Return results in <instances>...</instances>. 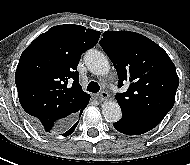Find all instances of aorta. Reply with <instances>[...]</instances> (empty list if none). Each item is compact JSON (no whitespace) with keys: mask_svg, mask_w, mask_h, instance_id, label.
I'll use <instances>...</instances> for the list:
<instances>
[{"mask_svg":"<svg viewBox=\"0 0 190 165\" xmlns=\"http://www.w3.org/2000/svg\"><path fill=\"white\" fill-rule=\"evenodd\" d=\"M85 63L88 70L95 75H107L110 70L108 58L97 50H90L85 55ZM102 114L108 122H117L122 116L121 108L116 101L104 102Z\"/></svg>","mask_w":190,"mask_h":165,"instance_id":"762f6f07","label":"aorta"}]
</instances>
